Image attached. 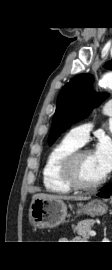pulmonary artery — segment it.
Wrapping results in <instances>:
<instances>
[{"instance_id": "e3ab8cb5", "label": "pulmonary artery", "mask_w": 112, "mask_h": 270, "mask_svg": "<svg viewBox=\"0 0 112 270\" xmlns=\"http://www.w3.org/2000/svg\"><path fill=\"white\" fill-rule=\"evenodd\" d=\"M104 115L106 117L112 118V102H109L105 107H104ZM92 130V125L91 124H85L81 125L78 127L72 128L68 135L75 141H77L79 144L83 145L88 137L89 133Z\"/></svg>"}]
</instances>
